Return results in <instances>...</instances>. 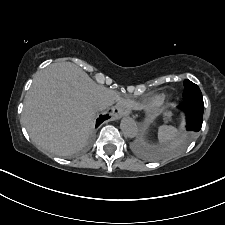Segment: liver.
<instances>
[{
	"instance_id": "1",
	"label": "liver",
	"mask_w": 225,
	"mask_h": 225,
	"mask_svg": "<svg viewBox=\"0 0 225 225\" xmlns=\"http://www.w3.org/2000/svg\"><path fill=\"white\" fill-rule=\"evenodd\" d=\"M118 100L116 91L96 84L75 64L54 63L34 77L22 123L38 147L66 156L86 145L98 105Z\"/></svg>"
}]
</instances>
